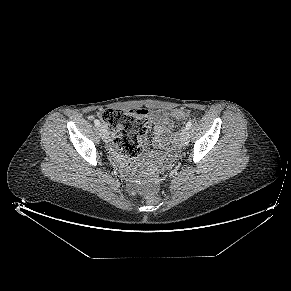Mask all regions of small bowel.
I'll return each mask as SVG.
<instances>
[{"label":"small bowel","mask_w":291,"mask_h":291,"mask_svg":"<svg viewBox=\"0 0 291 291\" xmlns=\"http://www.w3.org/2000/svg\"><path fill=\"white\" fill-rule=\"evenodd\" d=\"M150 119L154 125L153 146L161 152H146L144 156L142 173L143 176L150 179L155 177L159 170L170 165L172 155V122L169 115L162 110H156L151 113ZM146 132H142L139 136L140 143L143 147L147 144ZM120 165L131 176L133 173L129 169L127 163L118 158Z\"/></svg>","instance_id":"small-bowel-1"}]
</instances>
